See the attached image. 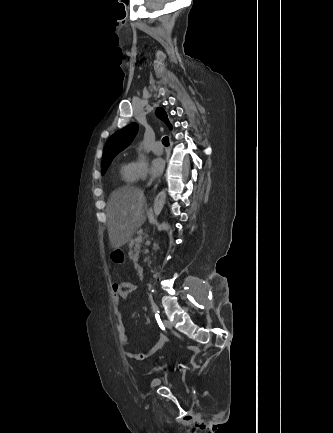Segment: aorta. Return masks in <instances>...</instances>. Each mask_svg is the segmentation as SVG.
Wrapping results in <instances>:
<instances>
[{"mask_svg":"<svg viewBox=\"0 0 333 433\" xmlns=\"http://www.w3.org/2000/svg\"><path fill=\"white\" fill-rule=\"evenodd\" d=\"M166 201V191H161L158 193V195L155 198L154 205H153V211L155 217H158L164 207Z\"/></svg>","mask_w":333,"mask_h":433,"instance_id":"aorta-1","label":"aorta"}]
</instances>
